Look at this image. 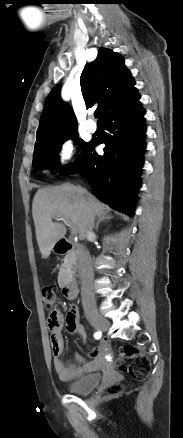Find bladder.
Returning a JSON list of instances; mask_svg holds the SVG:
<instances>
[{
  "instance_id": "1",
  "label": "bladder",
  "mask_w": 183,
  "mask_h": 438,
  "mask_svg": "<svg viewBox=\"0 0 183 438\" xmlns=\"http://www.w3.org/2000/svg\"><path fill=\"white\" fill-rule=\"evenodd\" d=\"M101 378L98 373L82 375L70 382L67 389L74 394H88L99 385Z\"/></svg>"
}]
</instances>
